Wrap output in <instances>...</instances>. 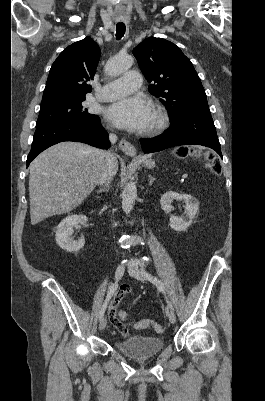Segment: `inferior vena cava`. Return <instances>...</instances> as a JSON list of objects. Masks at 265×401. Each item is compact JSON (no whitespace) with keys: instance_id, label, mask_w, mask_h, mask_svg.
<instances>
[{"instance_id":"1","label":"inferior vena cava","mask_w":265,"mask_h":401,"mask_svg":"<svg viewBox=\"0 0 265 401\" xmlns=\"http://www.w3.org/2000/svg\"><path fill=\"white\" fill-rule=\"evenodd\" d=\"M109 138L111 142H116L117 140L116 134H110ZM103 156H104V170L102 174H100L99 182L100 184H104V182H106L107 184V182H110V180H112V176L114 174L113 166L115 162V156L114 152H111V150H105V152H103Z\"/></svg>"}]
</instances>
